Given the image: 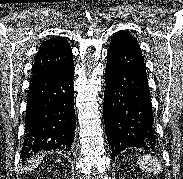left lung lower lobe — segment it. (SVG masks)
Masks as SVG:
<instances>
[{"instance_id":"left-lung-lower-lobe-1","label":"left lung lower lobe","mask_w":183,"mask_h":179,"mask_svg":"<svg viewBox=\"0 0 183 179\" xmlns=\"http://www.w3.org/2000/svg\"><path fill=\"white\" fill-rule=\"evenodd\" d=\"M105 80L103 115L111 158L129 147L155 150L145 64L137 40L127 31H119L112 38Z\"/></svg>"}]
</instances>
